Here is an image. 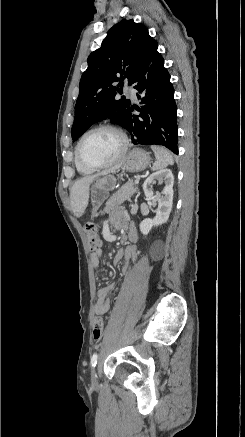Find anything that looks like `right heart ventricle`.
Here are the masks:
<instances>
[{
  "mask_svg": "<svg viewBox=\"0 0 245 437\" xmlns=\"http://www.w3.org/2000/svg\"><path fill=\"white\" fill-rule=\"evenodd\" d=\"M74 162H75V167H76L77 171H78L80 174H82V175H89V174H91V173L94 172V169L84 166V165L79 161V159H78L76 153H75V159H74Z\"/></svg>",
  "mask_w": 245,
  "mask_h": 437,
  "instance_id": "1",
  "label": "right heart ventricle"
}]
</instances>
